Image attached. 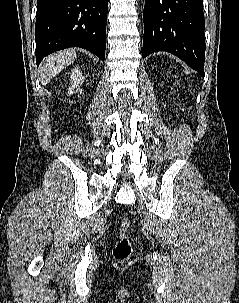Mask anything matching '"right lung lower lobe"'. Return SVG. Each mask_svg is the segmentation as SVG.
Listing matches in <instances>:
<instances>
[{
    "instance_id": "obj_1",
    "label": "right lung lower lobe",
    "mask_w": 239,
    "mask_h": 303,
    "mask_svg": "<svg viewBox=\"0 0 239 303\" xmlns=\"http://www.w3.org/2000/svg\"><path fill=\"white\" fill-rule=\"evenodd\" d=\"M108 0H37L36 62L81 47L105 59Z\"/></svg>"
}]
</instances>
